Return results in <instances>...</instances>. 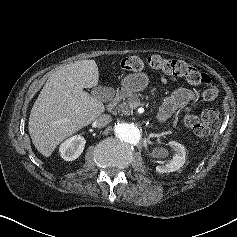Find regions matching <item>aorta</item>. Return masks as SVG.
<instances>
[{
	"mask_svg": "<svg viewBox=\"0 0 237 237\" xmlns=\"http://www.w3.org/2000/svg\"><path fill=\"white\" fill-rule=\"evenodd\" d=\"M114 132L117 137L130 144H137L141 138V130L132 123H117Z\"/></svg>",
	"mask_w": 237,
	"mask_h": 237,
	"instance_id": "aorta-1",
	"label": "aorta"
}]
</instances>
